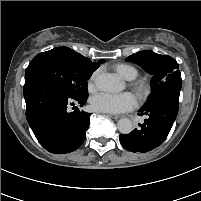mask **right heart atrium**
I'll use <instances>...</instances> for the list:
<instances>
[{"instance_id":"d8ad5b80","label":"right heart atrium","mask_w":201,"mask_h":201,"mask_svg":"<svg viewBox=\"0 0 201 201\" xmlns=\"http://www.w3.org/2000/svg\"><path fill=\"white\" fill-rule=\"evenodd\" d=\"M95 77H96V74H93L89 83H88V88L89 90H93L94 89V81H95Z\"/></svg>"}]
</instances>
